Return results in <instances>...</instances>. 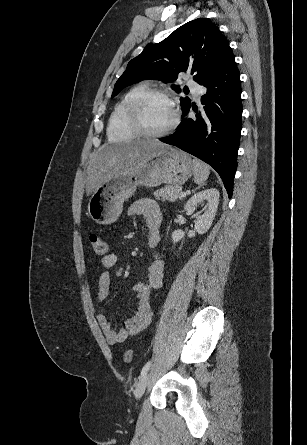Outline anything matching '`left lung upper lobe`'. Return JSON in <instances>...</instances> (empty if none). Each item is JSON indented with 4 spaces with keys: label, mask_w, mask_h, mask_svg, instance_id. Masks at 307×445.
<instances>
[{
    "label": "left lung upper lobe",
    "mask_w": 307,
    "mask_h": 445,
    "mask_svg": "<svg viewBox=\"0 0 307 445\" xmlns=\"http://www.w3.org/2000/svg\"><path fill=\"white\" fill-rule=\"evenodd\" d=\"M234 57L228 41L207 18H198L176 29L169 37L149 44L132 59L115 84L112 97L123 88L144 79L173 82L180 72H191L202 85ZM176 92L178 86L173 85ZM183 115L190 108L188 97L180 101Z\"/></svg>",
    "instance_id": "1"
}]
</instances>
